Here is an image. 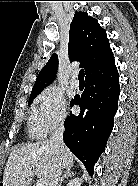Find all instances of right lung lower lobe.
<instances>
[{"label":"right lung lower lobe","mask_w":138,"mask_h":186,"mask_svg":"<svg viewBox=\"0 0 138 186\" xmlns=\"http://www.w3.org/2000/svg\"><path fill=\"white\" fill-rule=\"evenodd\" d=\"M120 95L119 75L86 80L81 97L75 96L71 106L81 107L78 116L70 113L65 121L64 143L83 162L90 175L105 149L113 129Z\"/></svg>","instance_id":"98d812e1"}]
</instances>
